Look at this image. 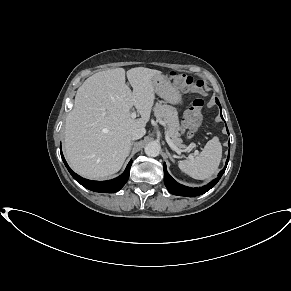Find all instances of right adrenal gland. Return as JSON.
Masks as SVG:
<instances>
[{
    "label": "right adrenal gland",
    "instance_id": "2a0ac1e0",
    "mask_svg": "<svg viewBox=\"0 0 291 291\" xmlns=\"http://www.w3.org/2000/svg\"><path fill=\"white\" fill-rule=\"evenodd\" d=\"M133 144H134V142H132V143H131V146H130V151H131V149H132V146H133Z\"/></svg>",
    "mask_w": 291,
    "mask_h": 291
}]
</instances>
